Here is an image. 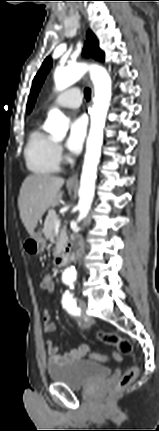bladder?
<instances>
[{
    "instance_id": "1",
    "label": "bladder",
    "mask_w": 159,
    "mask_h": 431,
    "mask_svg": "<svg viewBox=\"0 0 159 431\" xmlns=\"http://www.w3.org/2000/svg\"><path fill=\"white\" fill-rule=\"evenodd\" d=\"M111 374L108 366L92 360L80 359L66 364H49L47 377L52 383L66 385L72 389H80Z\"/></svg>"
}]
</instances>
